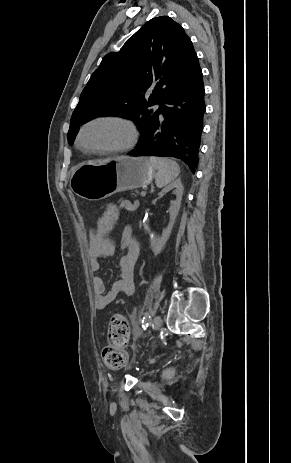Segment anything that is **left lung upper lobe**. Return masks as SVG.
<instances>
[{"mask_svg":"<svg viewBox=\"0 0 291 463\" xmlns=\"http://www.w3.org/2000/svg\"><path fill=\"white\" fill-rule=\"evenodd\" d=\"M199 67L193 44L178 23L167 16L149 20L92 74L71 117L69 144L82 124L102 115L130 118L142 136L158 113L150 107L161 105Z\"/></svg>","mask_w":291,"mask_h":463,"instance_id":"5c2ea615","label":"left lung upper lobe"}]
</instances>
